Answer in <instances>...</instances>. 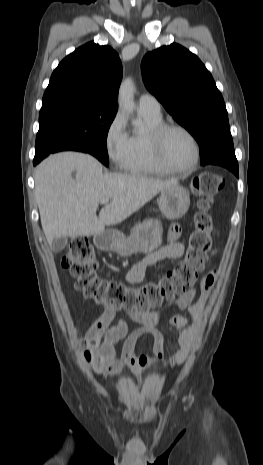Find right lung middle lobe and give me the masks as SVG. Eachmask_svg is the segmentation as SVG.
I'll return each instance as SVG.
<instances>
[{
  "label": "right lung middle lobe",
  "mask_w": 263,
  "mask_h": 465,
  "mask_svg": "<svg viewBox=\"0 0 263 465\" xmlns=\"http://www.w3.org/2000/svg\"><path fill=\"white\" fill-rule=\"evenodd\" d=\"M116 112L115 108L77 101L42 104L34 159L75 147L108 166L106 140Z\"/></svg>",
  "instance_id": "obj_1"
}]
</instances>
